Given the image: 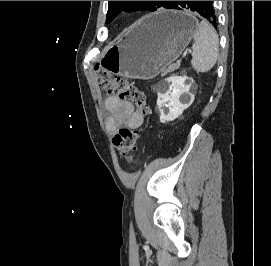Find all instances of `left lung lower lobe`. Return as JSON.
Wrapping results in <instances>:
<instances>
[{"label":"left lung lower lobe","instance_id":"obj_1","mask_svg":"<svg viewBox=\"0 0 271 266\" xmlns=\"http://www.w3.org/2000/svg\"><path fill=\"white\" fill-rule=\"evenodd\" d=\"M167 9L191 10L217 28L218 21L212 1H172Z\"/></svg>","mask_w":271,"mask_h":266}]
</instances>
